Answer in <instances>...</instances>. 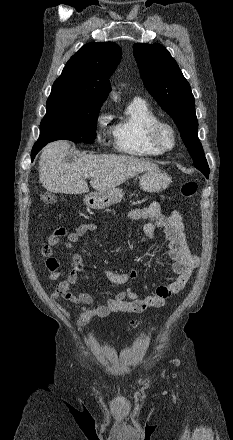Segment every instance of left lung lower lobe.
Masks as SVG:
<instances>
[{
	"mask_svg": "<svg viewBox=\"0 0 233 440\" xmlns=\"http://www.w3.org/2000/svg\"><path fill=\"white\" fill-rule=\"evenodd\" d=\"M197 168L206 176V178H208V176H209V167H208V165H206V166H198Z\"/></svg>",
	"mask_w": 233,
	"mask_h": 440,
	"instance_id": "0a47b994",
	"label": "left lung lower lobe"
}]
</instances>
